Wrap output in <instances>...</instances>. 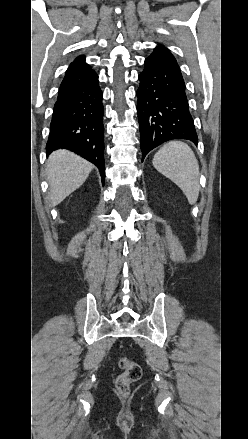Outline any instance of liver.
<instances>
[{
  "label": "liver",
  "mask_w": 248,
  "mask_h": 439,
  "mask_svg": "<svg viewBox=\"0 0 248 439\" xmlns=\"http://www.w3.org/2000/svg\"><path fill=\"white\" fill-rule=\"evenodd\" d=\"M93 165L68 150L53 152L47 161L50 206L61 203L79 188L89 176Z\"/></svg>",
  "instance_id": "6515ba94"
}]
</instances>
